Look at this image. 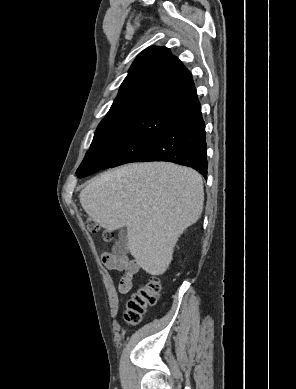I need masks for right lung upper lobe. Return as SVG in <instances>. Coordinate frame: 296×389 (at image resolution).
<instances>
[{"instance_id": "1", "label": "right lung upper lobe", "mask_w": 296, "mask_h": 389, "mask_svg": "<svg viewBox=\"0 0 296 389\" xmlns=\"http://www.w3.org/2000/svg\"><path fill=\"white\" fill-rule=\"evenodd\" d=\"M191 73L166 47L141 52L105 118L155 113L177 119L200 108Z\"/></svg>"}]
</instances>
